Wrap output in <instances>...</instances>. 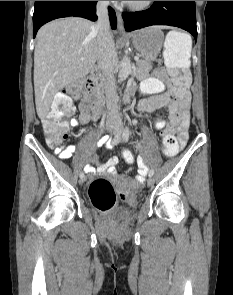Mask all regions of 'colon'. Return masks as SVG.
<instances>
[{"instance_id": "colon-1", "label": "colon", "mask_w": 233, "mask_h": 295, "mask_svg": "<svg viewBox=\"0 0 233 295\" xmlns=\"http://www.w3.org/2000/svg\"><path fill=\"white\" fill-rule=\"evenodd\" d=\"M191 39L187 34L174 31L168 34L164 45L166 68L172 76L174 95L179 96L187 91L191 84L188 67L191 61ZM88 80H77L71 83L62 93L57 94L51 104V109L43 121V131L50 147L60 146L67 137L68 123L63 119L73 112L71 96L80 94ZM162 149L167 157H172L179 151L178 138L170 127L161 131ZM122 157L127 164H133V153L124 149ZM89 197L92 204L99 210L111 209L116 202V192L111 182L104 178L95 179L89 186Z\"/></svg>"}]
</instances>
